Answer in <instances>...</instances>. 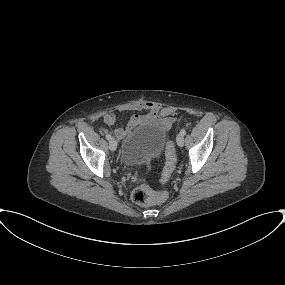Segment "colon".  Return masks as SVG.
<instances>
[{"mask_svg":"<svg viewBox=\"0 0 285 285\" xmlns=\"http://www.w3.org/2000/svg\"><path fill=\"white\" fill-rule=\"evenodd\" d=\"M176 157L173 146L170 143L167 150V164L163 171V180H167L175 167ZM166 195L155 192L148 183L141 184L132 193V200L138 205L161 204L165 201Z\"/></svg>","mask_w":285,"mask_h":285,"instance_id":"5ec220e1","label":"colon"}]
</instances>
